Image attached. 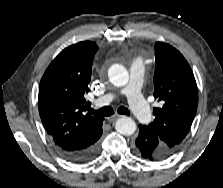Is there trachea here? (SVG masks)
Returning <instances> with one entry per match:
<instances>
[{
    "mask_svg": "<svg viewBox=\"0 0 223 188\" xmlns=\"http://www.w3.org/2000/svg\"><path fill=\"white\" fill-rule=\"evenodd\" d=\"M117 112L119 114H123V115H130V111L126 107H123V106L119 107ZM89 113L97 115V116L106 117V116L112 115L114 113V110L112 107L105 106L99 110H93V109L89 108Z\"/></svg>",
    "mask_w": 223,
    "mask_h": 188,
    "instance_id": "3493384b",
    "label": "trachea"
}]
</instances>
